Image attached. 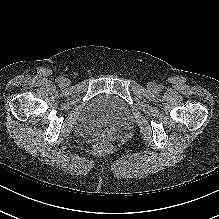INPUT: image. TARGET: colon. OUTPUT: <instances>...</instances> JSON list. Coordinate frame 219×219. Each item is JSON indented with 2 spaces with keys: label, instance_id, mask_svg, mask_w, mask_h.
I'll use <instances>...</instances> for the list:
<instances>
[{
  "label": "colon",
  "instance_id": "5ec220e1",
  "mask_svg": "<svg viewBox=\"0 0 219 219\" xmlns=\"http://www.w3.org/2000/svg\"><path fill=\"white\" fill-rule=\"evenodd\" d=\"M109 150V145L106 142H98L93 146V152L103 154Z\"/></svg>",
  "mask_w": 219,
  "mask_h": 219
}]
</instances>
